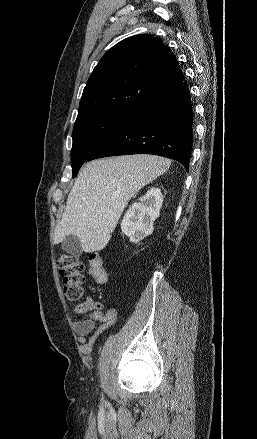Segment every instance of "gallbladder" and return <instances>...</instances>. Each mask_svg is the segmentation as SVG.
Returning a JSON list of instances; mask_svg holds the SVG:
<instances>
[{
  "mask_svg": "<svg viewBox=\"0 0 257 439\" xmlns=\"http://www.w3.org/2000/svg\"><path fill=\"white\" fill-rule=\"evenodd\" d=\"M62 249L73 255V256H80L82 254V249L80 246V240L78 237L74 236V235H69L67 236L63 241H62Z\"/></svg>",
  "mask_w": 257,
  "mask_h": 439,
  "instance_id": "obj_1",
  "label": "gallbladder"
}]
</instances>
